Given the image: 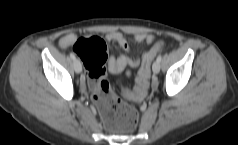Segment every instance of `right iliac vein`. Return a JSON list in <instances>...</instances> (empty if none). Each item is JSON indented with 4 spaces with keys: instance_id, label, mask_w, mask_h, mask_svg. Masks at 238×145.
<instances>
[{
    "instance_id": "1",
    "label": "right iliac vein",
    "mask_w": 238,
    "mask_h": 145,
    "mask_svg": "<svg viewBox=\"0 0 238 145\" xmlns=\"http://www.w3.org/2000/svg\"><path fill=\"white\" fill-rule=\"evenodd\" d=\"M74 69L76 73H80L82 71V65L79 59H75L74 61Z\"/></svg>"
}]
</instances>
